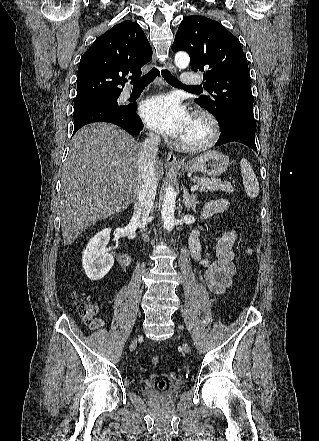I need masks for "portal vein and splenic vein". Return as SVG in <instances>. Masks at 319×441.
Masks as SVG:
<instances>
[{
    "mask_svg": "<svg viewBox=\"0 0 319 441\" xmlns=\"http://www.w3.org/2000/svg\"><path fill=\"white\" fill-rule=\"evenodd\" d=\"M117 181L122 183L123 182V178L122 177H118ZM199 185H194L193 187H191V192L197 191L199 189Z\"/></svg>",
    "mask_w": 319,
    "mask_h": 441,
    "instance_id": "1",
    "label": "portal vein and splenic vein"
}]
</instances>
